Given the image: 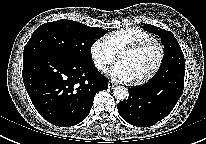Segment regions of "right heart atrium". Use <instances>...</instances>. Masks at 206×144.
Segmentation results:
<instances>
[{
	"mask_svg": "<svg viewBox=\"0 0 206 144\" xmlns=\"http://www.w3.org/2000/svg\"><path fill=\"white\" fill-rule=\"evenodd\" d=\"M90 55L94 66L101 72L115 61L116 54L105 38L96 39L90 46Z\"/></svg>",
	"mask_w": 206,
	"mask_h": 144,
	"instance_id": "obj_1",
	"label": "right heart atrium"
}]
</instances>
